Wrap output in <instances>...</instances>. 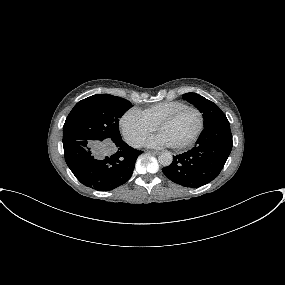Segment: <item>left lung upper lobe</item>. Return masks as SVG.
<instances>
[{
    "label": "left lung upper lobe",
    "mask_w": 285,
    "mask_h": 285,
    "mask_svg": "<svg viewBox=\"0 0 285 285\" xmlns=\"http://www.w3.org/2000/svg\"><path fill=\"white\" fill-rule=\"evenodd\" d=\"M184 99L192 103L201 113H203L204 126L214 122L228 121L221 109L212 101L196 93L184 94Z\"/></svg>",
    "instance_id": "5c2ea615"
}]
</instances>
